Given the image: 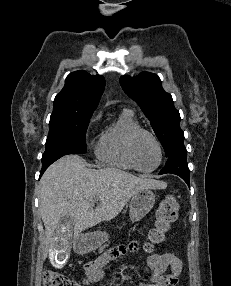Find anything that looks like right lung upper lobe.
Instances as JSON below:
<instances>
[{"mask_svg":"<svg viewBox=\"0 0 231 286\" xmlns=\"http://www.w3.org/2000/svg\"><path fill=\"white\" fill-rule=\"evenodd\" d=\"M105 80L80 70L70 73L54 99L53 111L93 112L104 91Z\"/></svg>","mask_w":231,"mask_h":286,"instance_id":"obj_1","label":"right lung upper lobe"}]
</instances>
